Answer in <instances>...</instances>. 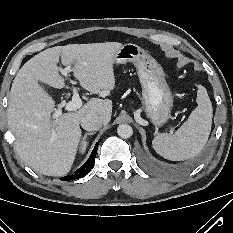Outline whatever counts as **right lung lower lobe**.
I'll return each instance as SVG.
<instances>
[{
  "label": "right lung lower lobe",
  "mask_w": 233,
  "mask_h": 233,
  "mask_svg": "<svg viewBox=\"0 0 233 233\" xmlns=\"http://www.w3.org/2000/svg\"><path fill=\"white\" fill-rule=\"evenodd\" d=\"M97 149H98V143L95 145L89 159L86 161V163L84 165H82L78 170H76L73 175H68V176L62 177L60 179L62 181H64V180L68 181V180L79 179V178L86 176L90 172V170L92 169V167L94 165Z\"/></svg>",
  "instance_id": "1"
}]
</instances>
